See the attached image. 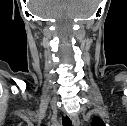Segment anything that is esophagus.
<instances>
[{
    "mask_svg": "<svg viewBox=\"0 0 127 126\" xmlns=\"http://www.w3.org/2000/svg\"><path fill=\"white\" fill-rule=\"evenodd\" d=\"M70 119H71L72 124H73L74 126H79L80 120H79V118H78V116H77L76 114L70 115Z\"/></svg>",
    "mask_w": 127,
    "mask_h": 126,
    "instance_id": "1",
    "label": "esophagus"
}]
</instances>
